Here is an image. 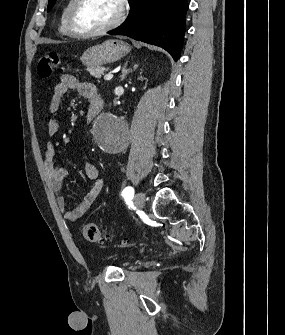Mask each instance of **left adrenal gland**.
<instances>
[{
    "label": "left adrenal gland",
    "instance_id": "1",
    "mask_svg": "<svg viewBox=\"0 0 285 335\" xmlns=\"http://www.w3.org/2000/svg\"><path fill=\"white\" fill-rule=\"evenodd\" d=\"M127 64H128V62H126V64H124V66L121 70L122 76H120V82H122V80H125L127 74H129V72H134V70H137V68H138V64H135V66H133V70H127Z\"/></svg>",
    "mask_w": 285,
    "mask_h": 335
}]
</instances>
